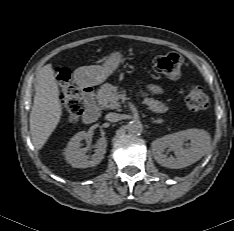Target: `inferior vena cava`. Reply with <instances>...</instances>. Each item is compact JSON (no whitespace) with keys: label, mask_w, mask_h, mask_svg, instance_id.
Returning a JSON list of instances; mask_svg holds the SVG:
<instances>
[{"label":"inferior vena cava","mask_w":234,"mask_h":231,"mask_svg":"<svg viewBox=\"0 0 234 231\" xmlns=\"http://www.w3.org/2000/svg\"><path fill=\"white\" fill-rule=\"evenodd\" d=\"M105 119L110 122H117L121 119V116L118 113L110 112L106 114Z\"/></svg>","instance_id":"inferior-vena-cava-1"}]
</instances>
